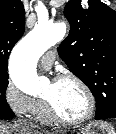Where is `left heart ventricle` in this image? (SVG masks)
<instances>
[{
  "instance_id": "left-heart-ventricle-1",
  "label": "left heart ventricle",
  "mask_w": 116,
  "mask_h": 134,
  "mask_svg": "<svg viewBox=\"0 0 116 134\" xmlns=\"http://www.w3.org/2000/svg\"><path fill=\"white\" fill-rule=\"evenodd\" d=\"M43 97L50 100L55 109L69 119H77L87 110L85 93L72 81L51 82Z\"/></svg>"
}]
</instances>
